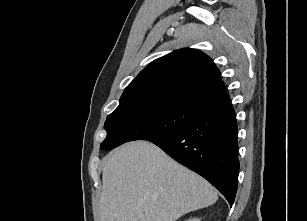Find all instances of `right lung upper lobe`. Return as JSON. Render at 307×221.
I'll list each match as a JSON object with an SVG mask.
<instances>
[{
    "label": "right lung upper lobe",
    "mask_w": 307,
    "mask_h": 221,
    "mask_svg": "<svg viewBox=\"0 0 307 221\" xmlns=\"http://www.w3.org/2000/svg\"><path fill=\"white\" fill-rule=\"evenodd\" d=\"M136 99L180 100L210 108L229 101V96L211 59L185 48L150 63L125 89L120 102Z\"/></svg>",
    "instance_id": "obj_1"
}]
</instances>
